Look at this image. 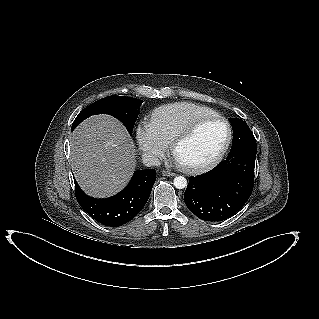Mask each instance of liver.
Listing matches in <instances>:
<instances>
[{
	"label": "liver",
	"instance_id": "6515ba94",
	"mask_svg": "<svg viewBox=\"0 0 319 319\" xmlns=\"http://www.w3.org/2000/svg\"><path fill=\"white\" fill-rule=\"evenodd\" d=\"M74 176L89 196L104 198L122 190L136 167L135 144L117 119L91 116L71 134Z\"/></svg>",
	"mask_w": 319,
	"mask_h": 319
}]
</instances>
